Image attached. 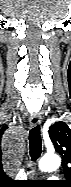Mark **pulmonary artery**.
<instances>
[{"label": "pulmonary artery", "mask_w": 71, "mask_h": 187, "mask_svg": "<svg viewBox=\"0 0 71 187\" xmlns=\"http://www.w3.org/2000/svg\"><path fill=\"white\" fill-rule=\"evenodd\" d=\"M55 178H56V177H54V176H53V177H51V179H55Z\"/></svg>", "instance_id": "e3ab8cb5"}]
</instances>
